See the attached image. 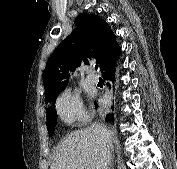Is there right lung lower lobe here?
<instances>
[{
	"label": "right lung lower lobe",
	"mask_w": 177,
	"mask_h": 169,
	"mask_svg": "<svg viewBox=\"0 0 177 169\" xmlns=\"http://www.w3.org/2000/svg\"><path fill=\"white\" fill-rule=\"evenodd\" d=\"M117 66H116V62L110 66H108L107 68H105L103 71H102V76L105 80H107V85L109 87H113L114 88V85L117 81ZM98 107V104L95 102V108ZM106 120L107 121H110V122H113L114 121V114L111 113V114H108L106 116Z\"/></svg>",
	"instance_id": "98d812e1"
}]
</instances>
